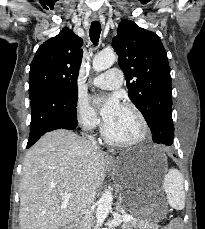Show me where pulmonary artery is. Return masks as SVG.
Wrapping results in <instances>:
<instances>
[{
    "instance_id": "pulmonary-artery-1",
    "label": "pulmonary artery",
    "mask_w": 205,
    "mask_h": 229,
    "mask_svg": "<svg viewBox=\"0 0 205 229\" xmlns=\"http://www.w3.org/2000/svg\"><path fill=\"white\" fill-rule=\"evenodd\" d=\"M123 73L119 68H111L94 78V84L102 89H115L122 84Z\"/></svg>"
}]
</instances>
